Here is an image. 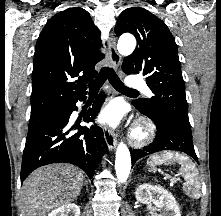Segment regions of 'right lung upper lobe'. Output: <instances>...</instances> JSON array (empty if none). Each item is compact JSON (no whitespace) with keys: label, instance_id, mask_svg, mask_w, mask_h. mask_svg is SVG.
Segmentation results:
<instances>
[{"label":"right lung upper lobe","instance_id":"right-lung-upper-lobe-1","mask_svg":"<svg viewBox=\"0 0 221 216\" xmlns=\"http://www.w3.org/2000/svg\"><path fill=\"white\" fill-rule=\"evenodd\" d=\"M100 46V31L86 10L75 7L54 15L36 43L31 115L86 94L85 83L96 76L94 67L104 57Z\"/></svg>","mask_w":221,"mask_h":216}]
</instances>
